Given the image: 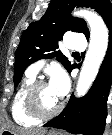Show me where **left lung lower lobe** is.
<instances>
[{
	"label": "left lung lower lobe",
	"mask_w": 112,
	"mask_h": 135,
	"mask_svg": "<svg viewBox=\"0 0 112 135\" xmlns=\"http://www.w3.org/2000/svg\"><path fill=\"white\" fill-rule=\"evenodd\" d=\"M107 27L109 30L107 53L91 89L79 99L72 95L66 108L44 127L65 129L74 134H103L107 116L106 101L112 84V18L108 21ZM76 67L75 65L74 68Z\"/></svg>",
	"instance_id": "1"
}]
</instances>
